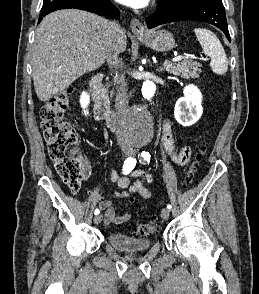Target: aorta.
<instances>
[{
    "label": "aorta",
    "instance_id": "aorta-1",
    "mask_svg": "<svg viewBox=\"0 0 259 294\" xmlns=\"http://www.w3.org/2000/svg\"><path fill=\"white\" fill-rule=\"evenodd\" d=\"M156 86L152 81L142 85V96L149 100L155 94ZM123 130L135 142H148L153 136V120L143 108L129 111L123 120Z\"/></svg>",
    "mask_w": 259,
    "mask_h": 294
}]
</instances>
